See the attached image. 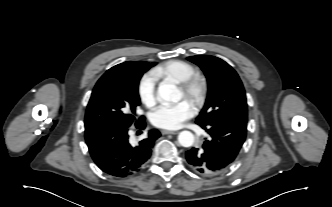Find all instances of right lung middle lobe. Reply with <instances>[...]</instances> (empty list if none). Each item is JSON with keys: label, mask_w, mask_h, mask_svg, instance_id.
<instances>
[{"label": "right lung middle lobe", "mask_w": 332, "mask_h": 207, "mask_svg": "<svg viewBox=\"0 0 332 207\" xmlns=\"http://www.w3.org/2000/svg\"><path fill=\"white\" fill-rule=\"evenodd\" d=\"M155 64L128 61L109 69L93 89L85 115V133L108 127H130L136 121V107L140 104L139 80Z\"/></svg>", "instance_id": "obj_1"}]
</instances>
